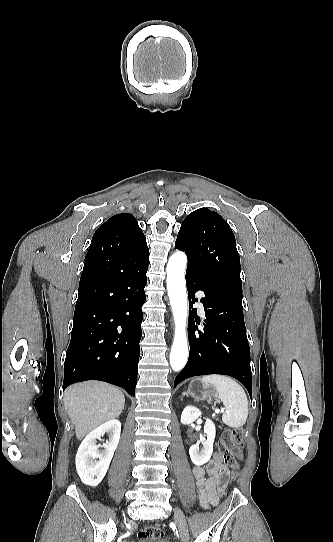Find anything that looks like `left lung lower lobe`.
Wrapping results in <instances>:
<instances>
[{
    "label": "left lung lower lobe",
    "mask_w": 333,
    "mask_h": 542,
    "mask_svg": "<svg viewBox=\"0 0 333 542\" xmlns=\"http://www.w3.org/2000/svg\"><path fill=\"white\" fill-rule=\"evenodd\" d=\"M186 284L189 307L192 309L188 322L190 352L188 362L177 375L174 386L193 376L229 375L246 387L252 399L250 348L243 317L242 293L230 287L206 283L189 271H186ZM198 290L205 294L201 302L206 319L201 329L194 325L195 322L200 324V318L197 309L192 308L197 301L194 295Z\"/></svg>",
    "instance_id": "obj_1"
}]
</instances>
